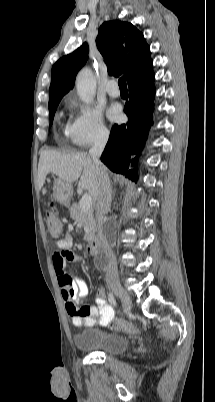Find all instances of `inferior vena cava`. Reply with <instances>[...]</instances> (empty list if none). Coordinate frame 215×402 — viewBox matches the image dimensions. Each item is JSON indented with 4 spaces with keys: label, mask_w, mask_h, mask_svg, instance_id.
<instances>
[{
    "label": "inferior vena cava",
    "mask_w": 215,
    "mask_h": 402,
    "mask_svg": "<svg viewBox=\"0 0 215 402\" xmlns=\"http://www.w3.org/2000/svg\"><path fill=\"white\" fill-rule=\"evenodd\" d=\"M108 136L109 134L107 132L101 134L95 140L93 147L89 150V154L92 157L93 163L95 164L96 172L98 174L96 218L98 223L99 236L102 243V249L107 259L106 277L110 283H117L119 281L117 262L111 245L107 240L106 231L104 229V217L110 210L112 202V189L107 169L102 165L99 160L107 143Z\"/></svg>",
    "instance_id": "602c4592"
}]
</instances>
